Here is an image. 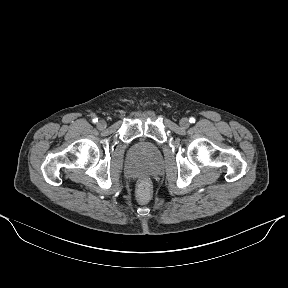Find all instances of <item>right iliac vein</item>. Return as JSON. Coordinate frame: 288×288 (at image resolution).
Here are the masks:
<instances>
[{
    "label": "right iliac vein",
    "mask_w": 288,
    "mask_h": 288,
    "mask_svg": "<svg viewBox=\"0 0 288 288\" xmlns=\"http://www.w3.org/2000/svg\"><path fill=\"white\" fill-rule=\"evenodd\" d=\"M107 126V123L105 120H99L98 123H97V128L100 129V130H103L105 129Z\"/></svg>",
    "instance_id": "1"
}]
</instances>
